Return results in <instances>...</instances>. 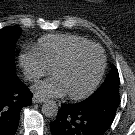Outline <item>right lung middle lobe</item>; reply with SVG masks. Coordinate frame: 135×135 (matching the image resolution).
Listing matches in <instances>:
<instances>
[{
	"label": "right lung middle lobe",
	"mask_w": 135,
	"mask_h": 135,
	"mask_svg": "<svg viewBox=\"0 0 135 135\" xmlns=\"http://www.w3.org/2000/svg\"><path fill=\"white\" fill-rule=\"evenodd\" d=\"M21 28L8 26L0 30V74L15 73V47Z\"/></svg>",
	"instance_id": "dd1d6c3e"
}]
</instances>
